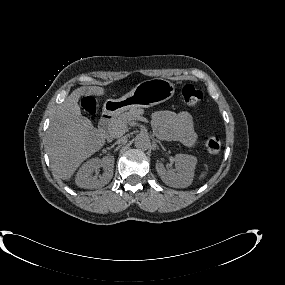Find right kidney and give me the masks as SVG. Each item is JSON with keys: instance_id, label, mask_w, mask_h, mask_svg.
<instances>
[{"instance_id": "obj_1", "label": "right kidney", "mask_w": 285, "mask_h": 285, "mask_svg": "<svg viewBox=\"0 0 285 285\" xmlns=\"http://www.w3.org/2000/svg\"><path fill=\"white\" fill-rule=\"evenodd\" d=\"M100 167L104 168V173L99 178L93 177V173ZM114 157L108 155L99 158H92L84 163L76 175V185L84 189H97L105 186L113 177Z\"/></svg>"}]
</instances>
